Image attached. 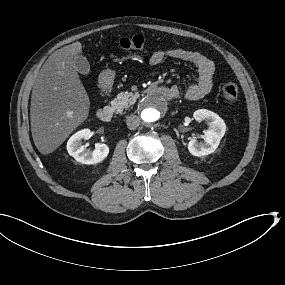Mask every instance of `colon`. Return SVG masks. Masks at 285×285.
I'll return each instance as SVG.
<instances>
[{"label": "colon", "instance_id": "5ec220e1", "mask_svg": "<svg viewBox=\"0 0 285 285\" xmlns=\"http://www.w3.org/2000/svg\"><path fill=\"white\" fill-rule=\"evenodd\" d=\"M116 45L123 50H143L146 41L141 35H133L119 39ZM239 88L235 82H227L222 87V96L226 101H233L238 97Z\"/></svg>", "mask_w": 285, "mask_h": 285}]
</instances>
